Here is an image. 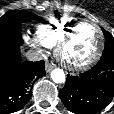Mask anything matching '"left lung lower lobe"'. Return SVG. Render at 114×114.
I'll list each match as a JSON object with an SVG mask.
<instances>
[{
	"label": "left lung lower lobe",
	"instance_id": "obj_1",
	"mask_svg": "<svg viewBox=\"0 0 114 114\" xmlns=\"http://www.w3.org/2000/svg\"><path fill=\"white\" fill-rule=\"evenodd\" d=\"M114 96V58H101L89 71L68 75L59 97L75 114H95L105 108Z\"/></svg>",
	"mask_w": 114,
	"mask_h": 114
}]
</instances>
